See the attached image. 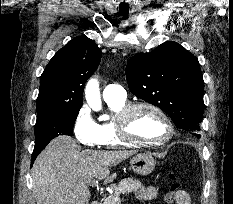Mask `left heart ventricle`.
I'll return each mask as SVG.
<instances>
[{"instance_id":"left-heart-ventricle-1","label":"left heart ventricle","mask_w":233,"mask_h":204,"mask_svg":"<svg viewBox=\"0 0 233 204\" xmlns=\"http://www.w3.org/2000/svg\"><path fill=\"white\" fill-rule=\"evenodd\" d=\"M130 132L136 138L155 141L163 139L168 129L156 113L149 109H140L132 117Z\"/></svg>"}]
</instances>
